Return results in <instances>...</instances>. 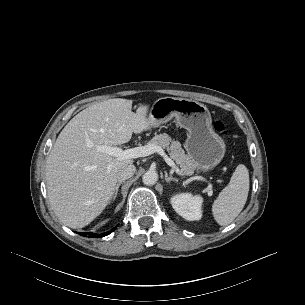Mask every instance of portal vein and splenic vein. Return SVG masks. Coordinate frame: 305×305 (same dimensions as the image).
<instances>
[{
    "label": "portal vein and splenic vein",
    "instance_id": "1",
    "mask_svg": "<svg viewBox=\"0 0 305 305\" xmlns=\"http://www.w3.org/2000/svg\"><path fill=\"white\" fill-rule=\"evenodd\" d=\"M98 150L103 153H107L113 157H116L118 160L145 157L157 152L169 166H171L179 174H182V172L178 169L173 160L164 152V150L161 147L153 144H148L145 146L130 148L126 150H123L120 147L99 146ZM108 169H111L110 166L108 167ZM198 179L203 180V178L201 177H199Z\"/></svg>",
    "mask_w": 305,
    "mask_h": 305
}]
</instances>
